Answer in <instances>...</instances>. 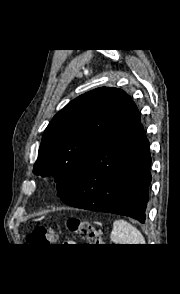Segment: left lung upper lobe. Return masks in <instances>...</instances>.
<instances>
[{"instance_id":"1","label":"left lung upper lobe","mask_w":180,"mask_h":294,"mask_svg":"<svg viewBox=\"0 0 180 294\" xmlns=\"http://www.w3.org/2000/svg\"><path fill=\"white\" fill-rule=\"evenodd\" d=\"M132 103L123 90L110 87L94 89L69 102L45 129L33 172L53 176L61 199L69 195Z\"/></svg>"}]
</instances>
